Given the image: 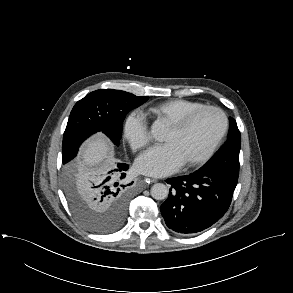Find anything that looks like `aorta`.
<instances>
[{"label":"aorta","mask_w":293,"mask_h":293,"mask_svg":"<svg viewBox=\"0 0 293 293\" xmlns=\"http://www.w3.org/2000/svg\"><path fill=\"white\" fill-rule=\"evenodd\" d=\"M162 132V125L159 122H154L151 126V134L155 138H159ZM151 196L156 200H163L168 196V188L163 183H156L151 187Z\"/></svg>","instance_id":"aorta-1"}]
</instances>
